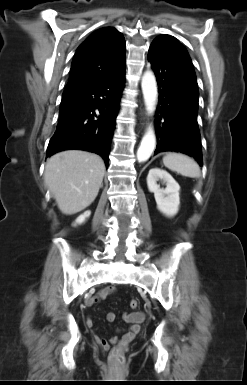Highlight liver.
Listing matches in <instances>:
<instances>
[{
    "instance_id": "6515ba94",
    "label": "liver",
    "mask_w": 247,
    "mask_h": 385,
    "mask_svg": "<svg viewBox=\"0 0 247 385\" xmlns=\"http://www.w3.org/2000/svg\"><path fill=\"white\" fill-rule=\"evenodd\" d=\"M104 172V161L97 154L68 150L47 160L44 182L60 211L72 215L84 210L95 200Z\"/></svg>"
}]
</instances>
